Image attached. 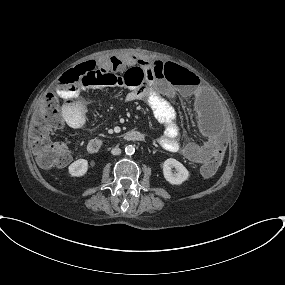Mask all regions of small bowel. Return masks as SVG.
<instances>
[{"label":"small bowel","mask_w":285,"mask_h":285,"mask_svg":"<svg viewBox=\"0 0 285 285\" xmlns=\"http://www.w3.org/2000/svg\"><path fill=\"white\" fill-rule=\"evenodd\" d=\"M117 58L120 60L119 67L139 64L144 69L148 85L141 92H128L126 99L129 102L140 100L147 102L155 120L163 125L164 129L158 137V142L165 150L173 153H182L186 158L197 163H206L217 154H223L224 143L221 140L218 129L212 124L204 123L202 125V142H198L192 138L183 142L176 121L175 109L159 93V89H167L172 94H178L181 91L180 87L192 84L194 74L189 69L174 64L172 67L176 70V73L168 81H162L157 76L154 63L146 60H135L130 56ZM83 85L86 88L77 86L68 87L65 84L59 86V94L65 100L63 114L67 125L71 128H80L81 121L87 119L89 115V101L91 100L89 92L115 86L101 79L96 80L92 84Z\"/></svg>","instance_id":"c3829d8e"}]
</instances>
